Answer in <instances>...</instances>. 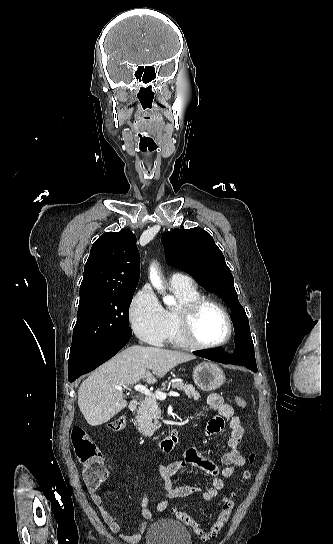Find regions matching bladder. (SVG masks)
Returning a JSON list of instances; mask_svg holds the SVG:
<instances>
[{
    "mask_svg": "<svg viewBox=\"0 0 333 544\" xmlns=\"http://www.w3.org/2000/svg\"><path fill=\"white\" fill-rule=\"evenodd\" d=\"M145 544H192L187 528L172 519L155 521L147 530Z\"/></svg>",
    "mask_w": 333,
    "mask_h": 544,
    "instance_id": "31cf9c89",
    "label": "bladder"
}]
</instances>
